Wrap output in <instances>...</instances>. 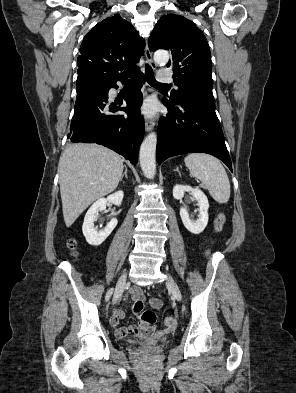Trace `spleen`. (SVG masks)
<instances>
[{
	"label": "spleen",
	"instance_id": "3e777b00",
	"mask_svg": "<svg viewBox=\"0 0 296 393\" xmlns=\"http://www.w3.org/2000/svg\"><path fill=\"white\" fill-rule=\"evenodd\" d=\"M184 162L190 175L205 185L216 202L220 204L228 202L230 182L218 159L203 153H192L185 157Z\"/></svg>",
	"mask_w": 296,
	"mask_h": 393
}]
</instances>
